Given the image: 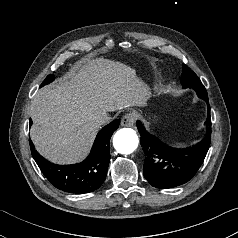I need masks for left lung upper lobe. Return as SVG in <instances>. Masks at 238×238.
I'll list each match as a JSON object with an SVG mask.
<instances>
[{
	"mask_svg": "<svg viewBox=\"0 0 238 238\" xmlns=\"http://www.w3.org/2000/svg\"><path fill=\"white\" fill-rule=\"evenodd\" d=\"M183 88H192L197 95L205 101H208V96L205 87L197 77V75L185 64H183V74L181 77Z\"/></svg>",
	"mask_w": 238,
	"mask_h": 238,
	"instance_id": "1",
	"label": "left lung upper lobe"
}]
</instances>
